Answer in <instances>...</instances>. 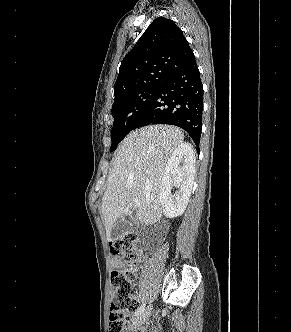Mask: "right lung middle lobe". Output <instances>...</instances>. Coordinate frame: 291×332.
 Here are the masks:
<instances>
[{
    "label": "right lung middle lobe",
    "mask_w": 291,
    "mask_h": 332,
    "mask_svg": "<svg viewBox=\"0 0 291 332\" xmlns=\"http://www.w3.org/2000/svg\"><path fill=\"white\" fill-rule=\"evenodd\" d=\"M161 83H152L146 88L131 92L114 101L112 106L114 123L111 131L110 151L115 150L119 142L134 129L138 117L151 101Z\"/></svg>",
    "instance_id": "right-lung-middle-lobe-1"
}]
</instances>
